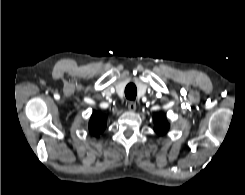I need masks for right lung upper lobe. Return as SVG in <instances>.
Wrapping results in <instances>:
<instances>
[{"instance_id":"cb5924a9","label":"right lung upper lobe","mask_w":245,"mask_h":195,"mask_svg":"<svg viewBox=\"0 0 245 195\" xmlns=\"http://www.w3.org/2000/svg\"><path fill=\"white\" fill-rule=\"evenodd\" d=\"M107 117L100 114L99 112H94L89 121V130L93 135H98L104 131L106 127Z\"/></svg>"}]
</instances>
